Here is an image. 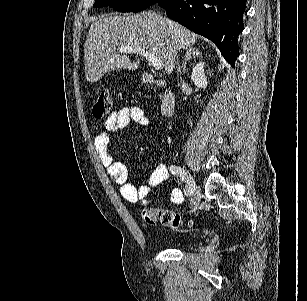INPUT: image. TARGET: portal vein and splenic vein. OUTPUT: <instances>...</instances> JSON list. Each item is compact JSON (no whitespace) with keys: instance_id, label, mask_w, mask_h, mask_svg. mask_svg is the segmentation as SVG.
Returning <instances> with one entry per match:
<instances>
[{"instance_id":"obj_1","label":"portal vein and splenic vein","mask_w":307,"mask_h":301,"mask_svg":"<svg viewBox=\"0 0 307 301\" xmlns=\"http://www.w3.org/2000/svg\"><path fill=\"white\" fill-rule=\"evenodd\" d=\"M117 50L119 52H136V54H142L147 58L149 64H153L156 70H161L163 68V62L160 56H155L152 52H147L145 48H141V46H117Z\"/></svg>"}]
</instances>
